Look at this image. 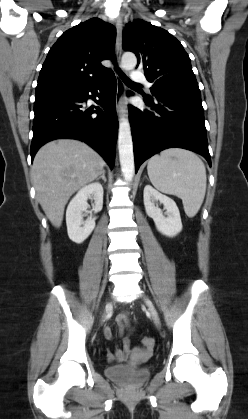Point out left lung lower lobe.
<instances>
[{
	"label": "left lung lower lobe",
	"mask_w": 248,
	"mask_h": 419,
	"mask_svg": "<svg viewBox=\"0 0 248 419\" xmlns=\"http://www.w3.org/2000/svg\"><path fill=\"white\" fill-rule=\"evenodd\" d=\"M145 103L151 110L129 105L136 172L146 159L174 147L194 151L211 165L201 97L161 96Z\"/></svg>",
	"instance_id": "1"
}]
</instances>
